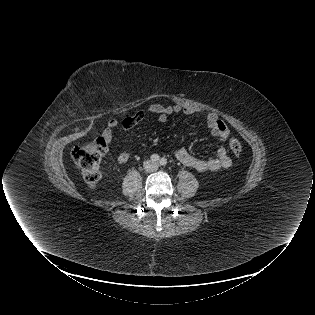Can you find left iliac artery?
<instances>
[{
    "instance_id": "obj_1",
    "label": "left iliac artery",
    "mask_w": 315,
    "mask_h": 315,
    "mask_svg": "<svg viewBox=\"0 0 315 315\" xmlns=\"http://www.w3.org/2000/svg\"><path fill=\"white\" fill-rule=\"evenodd\" d=\"M160 164L161 165H166L167 164V160L165 158H161Z\"/></svg>"
}]
</instances>
